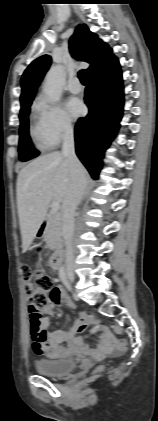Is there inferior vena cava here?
Wrapping results in <instances>:
<instances>
[{"instance_id":"602c4592","label":"inferior vena cava","mask_w":158,"mask_h":421,"mask_svg":"<svg viewBox=\"0 0 158 421\" xmlns=\"http://www.w3.org/2000/svg\"><path fill=\"white\" fill-rule=\"evenodd\" d=\"M62 155L68 159L71 182L63 200L62 236L65 242L66 264L73 262L71 240L74 233V216L82 200L86 187V171L75 153L74 131L71 125H65L63 132Z\"/></svg>"}]
</instances>
